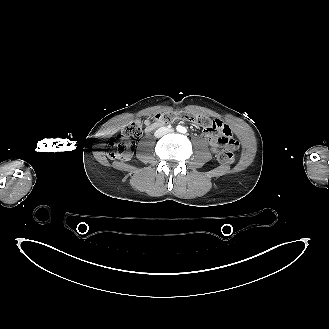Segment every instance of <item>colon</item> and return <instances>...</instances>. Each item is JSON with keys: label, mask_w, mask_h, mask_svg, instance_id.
I'll use <instances>...</instances> for the list:
<instances>
[{"label": "colon", "mask_w": 329, "mask_h": 329, "mask_svg": "<svg viewBox=\"0 0 329 329\" xmlns=\"http://www.w3.org/2000/svg\"><path fill=\"white\" fill-rule=\"evenodd\" d=\"M176 120H183L194 123L203 127L205 130L218 131V126L221 123L213 120L205 115L195 114L183 111H168L154 115L152 121L155 124H165L174 122ZM215 122V125H212ZM143 131V122L140 119H135L129 122L123 130L110 139L108 143V154L113 160L129 161L132 158L133 140L139 137ZM221 132H223L221 126ZM222 148L218 153V160L225 165L232 164L234 161V153L237 147V142L226 135L220 139Z\"/></svg>", "instance_id": "colon-1"}]
</instances>
